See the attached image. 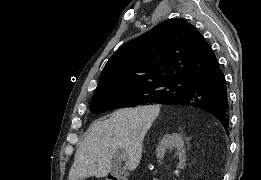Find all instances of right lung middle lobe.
Wrapping results in <instances>:
<instances>
[{
    "instance_id": "1",
    "label": "right lung middle lobe",
    "mask_w": 261,
    "mask_h": 180,
    "mask_svg": "<svg viewBox=\"0 0 261 180\" xmlns=\"http://www.w3.org/2000/svg\"><path fill=\"white\" fill-rule=\"evenodd\" d=\"M188 85L189 81L162 80L121 89L93 98L90 111L101 113L114 109L122 103L130 107L141 104H163L185 93Z\"/></svg>"
}]
</instances>
